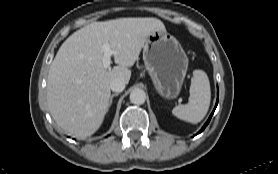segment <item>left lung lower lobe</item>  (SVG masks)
I'll return each instance as SVG.
<instances>
[{
	"label": "left lung lower lobe",
	"instance_id": "left-lung-lower-lobe-1",
	"mask_svg": "<svg viewBox=\"0 0 278 174\" xmlns=\"http://www.w3.org/2000/svg\"><path fill=\"white\" fill-rule=\"evenodd\" d=\"M217 104H218V99H217L215 108H214L213 112L211 113V115H210L208 121L205 123V125L202 127V129L198 132V134L201 133V132L205 129V127L207 126V124L209 123V121H210V119H211V117H212V115H213V113H214V111H215V109H216V107H217Z\"/></svg>",
	"mask_w": 278,
	"mask_h": 174
}]
</instances>
